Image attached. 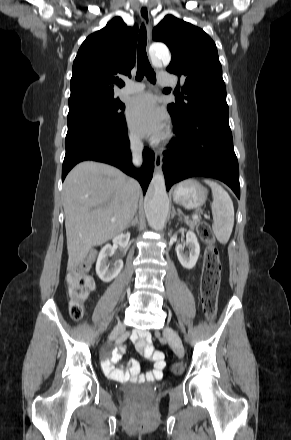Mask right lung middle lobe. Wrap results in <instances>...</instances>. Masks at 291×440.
I'll return each instance as SVG.
<instances>
[{"mask_svg":"<svg viewBox=\"0 0 291 440\" xmlns=\"http://www.w3.org/2000/svg\"><path fill=\"white\" fill-rule=\"evenodd\" d=\"M125 105L114 95L110 96H86L69 101L68 119L87 117L114 123L124 117L122 111Z\"/></svg>","mask_w":291,"mask_h":440,"instance_id":"dd1d6c3e","label":"right lung middle lobe"}]
</instances>
